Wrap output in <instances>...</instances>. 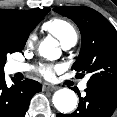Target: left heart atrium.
Wrapping results in <instances>:
<instances>
[{"mask_svg":"<svg viewBox=\"0 0 117 117\" xmlns=\"http://www.w3.org/2000/svg\"><path fill=\"white\" fill-rule=\"evenodd\" d=\"M57 69L56 66H52V65H41L38 69L39 73L47 78L50 79L53 76L54 71Z\"/></svg>","mask_w":117,"mask_h":117,"instance_id":"obj_1","label":"left heart atrium"}]
</instances>
